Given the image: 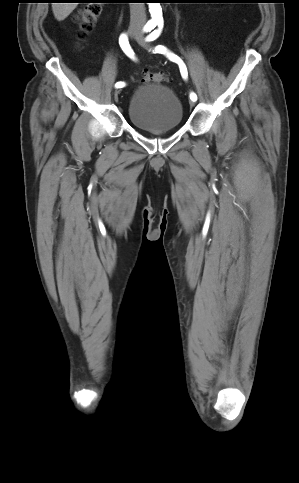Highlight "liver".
Here are the masks:
<instances>
[{"instance_id":"1","label":"liver","mask_w":299,"mask_h":483,"mask_svg":"<svg viewBox=\"0 0 299 483\" xmlns=\"http://www.w3.org/2000/svg\"><path fill=\"white\" fill-rule=\"evenodd\" d=\"M78 3H52V11L58 21L64 20L76 8Z\"/></svg>"}]
</instances>
